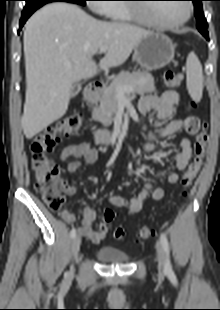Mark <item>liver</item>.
<instances>
[{"mask_svg":"<svg viewBox=\"0 0 220 310\" xmlns=\"http://www.w3.org/2000/svg\"><path fill=\"white\" fill-rule=\"evenodd\" d=\"M151 31L120 22L99 21L76 5L56 2L26 23L24 57L26 98L22 116L27 139L66 113L72 87L98 72L93 56L106 47L100 69L122 65Z\"/></svg>","mask_w":220,"mask_h":310,"instance_id":"liver-1","label":"liver"}]
</instances>
